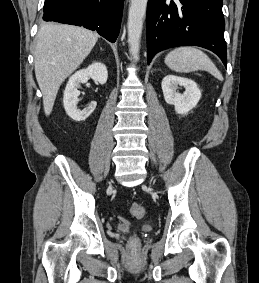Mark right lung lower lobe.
<instances>
[{"label": "right lung lower lobe", "instance_id": "right-lung-lower-lobe-1", "mask_svg": "<svg viewBox=\"0 0 259 283\" xmlns=\"http://www.w3.org/2000/svg\"><path fill=\"white\" fill-rule=\"evenodd\" d=\"M124 0H45V21L96 30L110 42L118 37Z\"/></svg>", "mask_w": 259, "mask_h": 283}]
</instances>
